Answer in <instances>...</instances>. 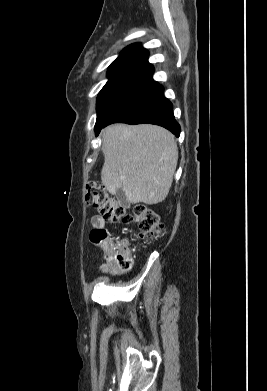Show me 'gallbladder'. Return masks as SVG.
I'll return each mask as SVG.
<instances>
[{"label":"gallbladder","mask_w":267,"mask_h":391,"mask_svg":"<svg viewBox=\"0 0 267 391\" xmlns=\"http://www.w3.org/2000/svg\"><path fill=\"white\" fill-rule=\"evenodd\" d=\"M115 196L121 203H127L125 193L121 188L117 189Z\"/></svg>","instance_id":"bac80fb5"}]
</instances>
